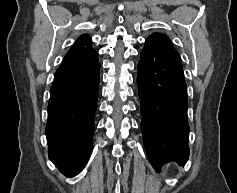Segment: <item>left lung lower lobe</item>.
<instances>
[{
  "label": "left lung lower lobe",
  "instance_id": "left-lung-lower-lobe-1",
  "mask_svg": "<svg viewBox=\"0 0 237 193\" xmlns=\"http://www.w3.org/2000/svg\"><path fill=\"white\" fill-rule=\"evenodd\" d=\"M141 131L156 171L168 161L188 160L187 86L178 52L147 39L138 63Z\"/></svg>",
  "mask_w": 237,
  "mask_h": 193
}]
</instances>
